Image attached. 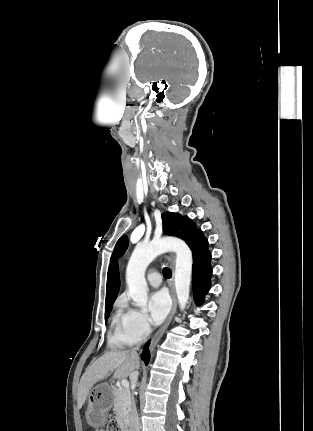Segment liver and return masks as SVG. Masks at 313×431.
<instances>
[{
    "mask_svg": "<svg viewBox=\"0 0 313 431\" xmlns=\"http://www.w3.org/2000/svg\"><path fill=\"white\" fill-rule=\"evenodd\" d=\"M140 365L139 356L130 350L109 351L93 362L81 377L77 391V405L81 409L89 390L110 372L116 379L125 380Z\"/></svg>",
    "mask_w": 313,
    "mask_h": 431,
    "instance_id": "liver-1",
    "label": "liver"
}]
</instances>
